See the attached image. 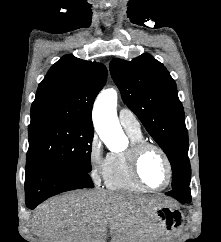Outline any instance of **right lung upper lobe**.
<instances>
[{
    "mask_svg": "<svg viewBox=\"0 0 221 242\" xmlns=\"http://www.w3.org/2000/svg\"><path fill=\"white\" fill-rule=\"evenodd\" d=\"M106 79L102 63L63 56L38 86L30 126L68 122L93 127V103Z\"/></svg>",
    "mask_w": 221,
    "mask_h": 242,
    "instance_id": "cb5924a9",
    "label": "right lung upper lobe"
}]
</instances>
